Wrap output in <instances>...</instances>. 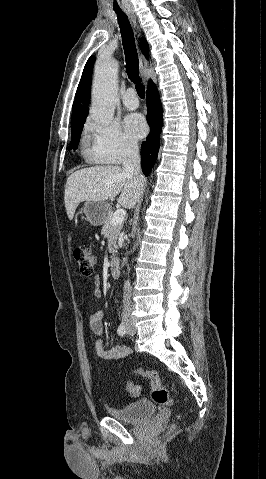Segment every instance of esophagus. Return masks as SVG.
<instances>
[{"instance_id":"34e87169","label":"esophagus","mask_w":266,"mask_h":479,"mask_svg":"<svg viewBox=\"0 0 266 479\" xmlns=\"http://www.w3.org/2000/svg\"><path fill=\"white\" fill-rule=\"evenodd\" d=\"M127 12H128V14L130 15V18H131V20H132V22H133V24H134V27H137L136 17H135V15H134L133 11L128 9ZM147 67H148V62H147V60L145 59L144 55L141 54V55H140V69H141V71H143V70L146 69ZM143 80H144V82H147V78H146V77H143Z\"/></svg>"}]
</instances>
